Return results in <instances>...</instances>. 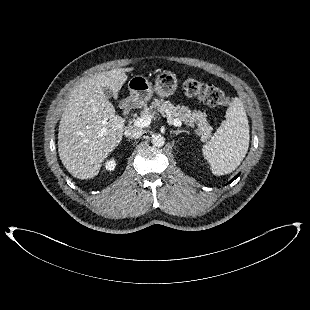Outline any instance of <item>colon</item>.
I'll return each instance as SVG.
<instances>
[{
    "label": "colon",
    "mask_w": 310,
    "mask_h": 310,
    "mask_svg": "<svg viewBox=\"0 0 310 310\" xmlns=\"http://www.w3.org/2000/svg\"><path fill=\"white\" fill-rule=\"evenodd\" d=\"M183 90L187 96L197 97L209 105L226 107L231 103V98L220 88L193 78L185 80Z\"/></svg>",
    "instance_id": "obj_1"
}]
</instances>
